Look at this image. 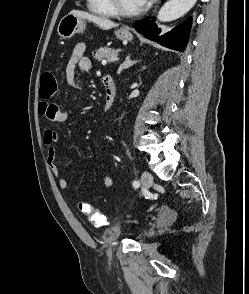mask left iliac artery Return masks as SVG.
I'll list each match as a JSON object with an SVG mask.
<instances>
[{"label": "left iliac artery", "instance_id": "obj_1", "mask_svg": "<svg viewBox=\"0 0 249 294\" xmlns=\"http://www.w3.org/2000/svg\"><path fill=\"white\" fill-rule=\"evenodd\" d=\"M140 186V182L138 181V180H135L134 182H133V187L134 188H138Z\"/></svg>", "mask_w": 249, "mask_h": 294}]
</instances>
